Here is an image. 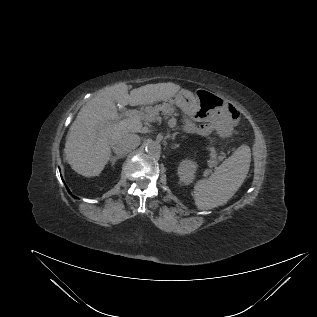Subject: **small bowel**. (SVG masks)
Wrapping results in <instances>:
<instances>
[{
	"label": "small bowel",
	"mask_w": 317,
	"mask_h": 317,
	"mask_svg": "<svg viewBox=\"0 0 317 317\" xmlns=\"http://www.w3.org/2000/svg\"><path fill=\"white\" fill-rule=\"evenodd\" d=\"M214 126H215V122L213 120H210L208 123L200 126L198 128V131L202 134H208L213 130Z\"/></svg>",
	"instance_id": "1"
}]
</instances>
